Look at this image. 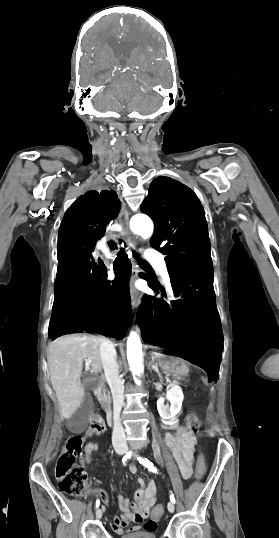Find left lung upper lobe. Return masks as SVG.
<instances>
[{
    "instance_id": "left-lung-upper-lobe-1",
    "label": "left lung upper lobe",
    "mask_w": 279,
    "mask_h": 538,
    "mask_svg": "<svg viewBox=\"0 0 279 538\" xmlns=\"http://www.w3.org/2000/svg\"><path fill=\"white\" fill-rule=\"evenodd\" d=\"M141 211L154 220L150 245L166 255L169 275L213 267L203 207L190 188L159 176L152 181Z\"/></svg>"
}]
</instances>
